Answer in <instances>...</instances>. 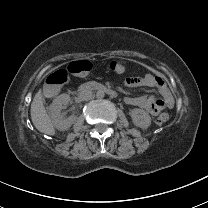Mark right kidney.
<instances>
[{
  "mask_svg": "<svg viewBox=\"0 0 208 208\" xmlns=\"http://www.w3.org/2000/svg\"><path fill=\"white\" fill-rule=\"evenodd\" d=\"M71 98L68 94L57 96L50 105V115L54 127L60 131L67 130L75 123L76 115H71L68 118H63L61 110L66 108Z\"/></svg>",
  "mask_w": 208,
  "mask_h": 208,
  "instance_id": "ca27d5eb",
  "label": "right kidney"
}]
</instances>
